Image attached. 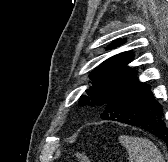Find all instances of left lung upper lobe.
<instances>
[{
    "label": "left lung upper lobe",
    "mask_w": 168,
    "mask_h": 162,
    "mask_svg": "<svg viewBox=\"0 0 168 162\" xmlns=\"http://www.w3.org/2000/svg\"><path fill=\"white\" fill-rule=\"evenodd\" d=\"M124 42L122 39L116 40L108 48H115ZM133 56V52L130 51L120 53L105 60L99 67L93 70L90 74L92 86L86 90L85 95L80 97L79 104L100 106L104 111L109 96L136 74L135 70L127 67Z\"/></svg>",
    "instance_id": "left-lung-upper-lobe-1"
}]
</instances>
